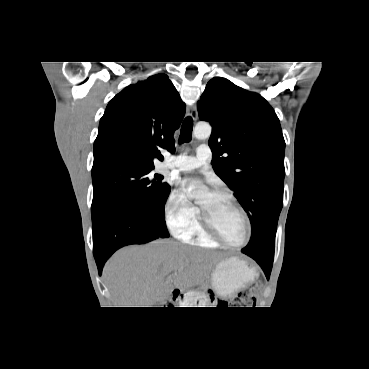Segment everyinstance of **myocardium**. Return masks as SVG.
Returning a JSON list of instances; mask_svg holds the SVG:
<instances>
[{
  "label": "myocardium",
  "instance_id": "myocardium-1",
  "mask_svg": "<svg viewBox=\"0 0 369 369\" xmlns=\"http://www.w3.org/2000/svg\"><path fill=\"white\" fill-rule=\"evenodd\" d=\"M212 194L231 200L233 202V204L239 209V211L241 212V214L244 218V221H245L246 236H245L244 240L241 243L229 242L216 230V228L214 227V225L212 224L210 218L206 215V213L202 209L199 208V221H200V225H201L203 231L211 239H213L217 243H220V244L225 245L227 247L242 248V247L246 246L249 243V241L251 239V235H252L251 221H250V218H249V215H248L247 211L241 205V203L237 200V198L228 191L217 190V191L212 192Z\"/></svg>",
  "mask_w": 369,
  "mask_h": 369
}]
</instances>
